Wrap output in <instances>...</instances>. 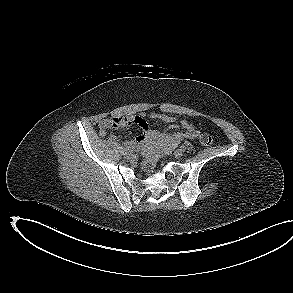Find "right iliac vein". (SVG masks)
<instances>
[{
  "instance_id": "right-iliac-vein-1",
  "label": "right iliac vein",
  "mask_w": 293,
  "mask_h": 293,
  "mask_svg": "<svg viewBox=\"0 0 293 293\" xmlns=\"http://www.w3.org/2000/svg\"><path fill=\"white\" fill-rule=\"evenodd\" d=\"M123 155H125L126 157H131L133 155V150H131V149L125 150L123 152Z\"/></svg>"
}]
</instances>
